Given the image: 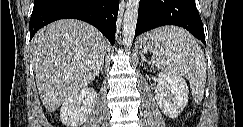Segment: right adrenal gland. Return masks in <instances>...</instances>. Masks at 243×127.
Listing matches in <instances>:
<instances>
[{"mask_svg":"<svg viewBox=\"0 0 243 127\" xmlns=\"http://www.w3.org/2000/svg\"><path fill=\"white\" fill-rule=\"evenodd\" d=\"M100 73L103 74V64H102V66H101V69H100L99 74H100ZM99 74H98V75H99Z\"/></svg>","mask_w":243,"mask_h":127,"instance_id":"1","label":"right adrenal gland"}]
</instances>
